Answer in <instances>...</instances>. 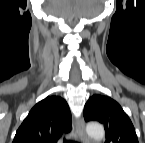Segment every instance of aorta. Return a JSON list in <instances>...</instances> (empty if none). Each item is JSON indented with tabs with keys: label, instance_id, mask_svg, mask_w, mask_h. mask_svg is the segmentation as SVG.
<instances>
[{
	"label": "aorta",
	"instance_id": "aorta-1",
	"mask_svg": "<svg viewBox=\"0 0 145 143\" xmlns=\"http://www.w3.org/2000/svg\"><path fill=\"white\" fill-rule=\"evenodd\" d=\"M86 131L91 138L97 141L101 140L105 135L104 128L99 123H89L86 127Z\"/></svg>",
	"mask_w": 145,
	"mask_h": 143
}]
</instances>
